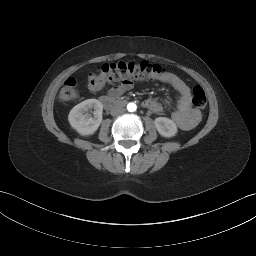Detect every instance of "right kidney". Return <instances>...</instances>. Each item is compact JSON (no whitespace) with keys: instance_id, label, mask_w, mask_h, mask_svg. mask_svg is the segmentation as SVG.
Masks as SVG:
<instances>
[{"instance_id":"1","label":"right kidney","mask_w":256,"mask_h":256,"mask_svg":"<svg viewBox=\"0 0 256 256\" xmlns=\"http://www.w3.org/2000/svg\"><path fill=\"white\" fill-rule=\"evenodd\" d=\"M90 109H94L93 116L88 113ZM102 111L103 105L99 100L87 99L71 109L68 121L79 134L92 135L102 122Z\"/></svg>"}]
</instances>
